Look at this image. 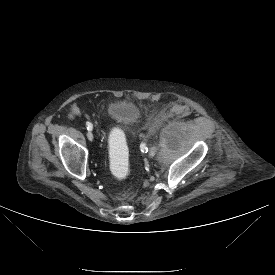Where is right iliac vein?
<instances>
[{
  "label": "right iliac vein",
  "instance_id": "63e3f726",
  "mask_svg": "<svg viewBox=\"0 0 275 275\" xmlns=\"http://www.w3.org/2000/svg\"><path fill=\"white\" fill-rule=\"evenodd\" d=\"M87 138L90 140V141H93V134L91 132H88L87 133Z\"/></svg>",
  "mask_w": 275,
  "mask_h": 275
}]
</instances>
